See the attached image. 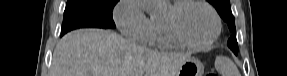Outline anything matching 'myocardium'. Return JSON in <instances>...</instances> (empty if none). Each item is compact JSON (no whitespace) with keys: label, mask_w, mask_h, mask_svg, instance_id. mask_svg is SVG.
Wrapping results in <instances>:
<instances>
[{"label":"myocardium","mask_w":287,"mask_h":76,"mask_svg":"<svg viewBox=\"0 0 287 76\" xmlns=\"http://www.w3.org/2000/svg\"><path fill=\"white\" fill-rule=\"evenodd\" d=\"M200 5L206 8L213 17L215 28L212 36L203 43H193L188 41L184 35L182 34L179 25H178V17L181 11L188 5ZM166 21L168 30L173 37V39L182 47H186L189 49H205L210 47L220 36L222 24L221 19L217 13V11L207 2L203 0H178L175 4H173L167 11Z\"/></svg>","instance_id":"1"}]
</instances>
